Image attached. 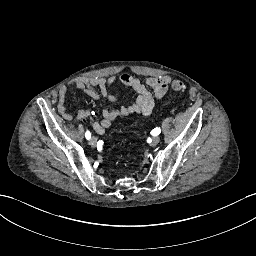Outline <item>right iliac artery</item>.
<instances>
[{"instance_id":"right-iliac-artery-1","label":"right iliac artery","mask_w":256,"mask_h":256,"mask_svg":"<svg viewBox=\"0 0 256 256\" xmlns=\"http://www.w3.org/2000/svg\"><path fill=\"white\" fill-rule=\"evenodd\" d=\"M85 137H86V139L89 140L91 138V133L89 131H86Z\"/></svg>"}]
</instances>
